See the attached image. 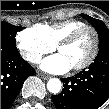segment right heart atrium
Segmentation results:
<instances>
[{
	"instance_id": "obj_1",
	"label": "right heart atrium",
	"mask_w": 109,
	"mask_h": 109,
	"mask_svg": "<svg viewBox=\"0 0 109 109\" xmlns=\"http://www.w3.org/2000/svg\"><path fill=\"white\" fill-rule=\"evenodd\" d=\"M16 43L21 56L30 63H37L44 54L50 53L55 49V45L41 26L18 32Z\"/></svg>"
}]
</instances>
